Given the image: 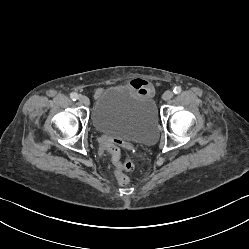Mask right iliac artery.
I'll return each instance as SVG.
<instances>
[{
    "mask_svg": "<svg viewBox=\"0 0 249 249\" xmlns=\"http://www.w3.org/2000/svg\"><path fill=\"white\" fill-rule=\"evenodd\" d=\"M70 98L73 100V101H76L77 99H79V95L77 93H71L70 94Z\"/></svg>",
    "mask_w": 249,
    "mask_h": 249,
    "instance_id": "obj_1",
    "label": "right iliac artery"
}]
</instances>
